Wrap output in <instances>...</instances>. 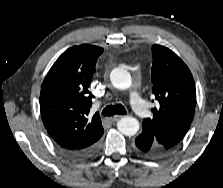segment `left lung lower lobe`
Instances as JSON below:
<instances>
[{
  "mask_svg": "<svg viewBox=\"0 0 223 188\" xmlns=\"http://www.w3.org/2000/svg\"><path fill=\"white\" fill-rule=\"evenodd\" d=\"M135 145V148L139 153L150 158H162L168 155L163 149L156 147L153 141L143 133L135 139Z\"/></svg>",
  "mask_w": 223,
  "mask_h": 188,
  "instance_id": "left-lung-lower-lobe-1",
  "label": "left lung lower lobe"
}]
</instances>
